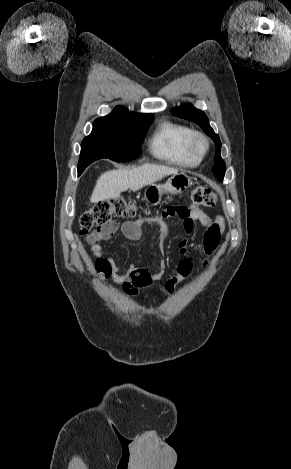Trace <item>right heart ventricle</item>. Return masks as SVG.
Listing matches in <instances>:
<instances>
[{
    "mask_svg": "<svg viewBox=\"0 0 291 469\" xmlns=\"http://www.w3.org/2000/svg\"><path fill=\"white\" fill-rule=\"evenodd\" d=\"M193 132L185 124L163 120L153 131L148 150L154 158L167 164L184 168L196 167L200 160L193 157L187 149L188 139Z\"/></svg>",
    "mask_w": 291,
    "mask_h": 469,
    "instance_id": "right-heart-ventricle-1",
    "label": "right heart ventricle"
}]
</instances>
